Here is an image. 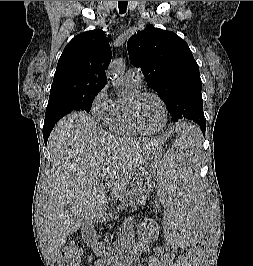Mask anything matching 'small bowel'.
I'll return each instance as SVG.
<instances>
[{"mask_svg":"<svg viewBox=\"0 0 253 266\" xmlns=\"http://www.w3.org/2000/svg\"><path fill=\"white\" fill-rule=\"evenodd\" d=\"M154 253L160 258H149L144 264L141 262L138 252L136 251H125L119 256L118 264L121 266H180L179 259L176 258L175 254L163 247H157L154 249ZM104 259H110L105 257L99 261L94 262V266H106Z\"/></svg>","mask_w":253,"mask_h":266,"instance_id":"obj_1","label":"small bowel"}]
</instances>
